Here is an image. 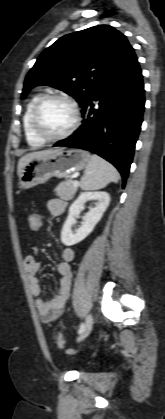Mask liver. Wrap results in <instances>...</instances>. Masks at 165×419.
I'll return each mask as SVG.
<instances>
[{
	"label": "liver",
	"mask_w": 165,
	"mask_h": 419,
	"mask_svg": "<svg viewBox=\"0 0 165 419\" xmlns=\"http://www.w3.org/2000/svg\"><path fill=\"white\" fill-rule=\"evenodd\" d=\"M58 150H61V149H47V150H42V151L30 152V153L24 155L23 157H21L19 159V162H18V168H17L18 175L21 173V171L25 167V165L29 161H31L33 158L48 155V154H51V153L56 152Z\"/></svg>",
	"instance_id": "6515ba94"
}]
</instances>
